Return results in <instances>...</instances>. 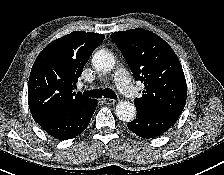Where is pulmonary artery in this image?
I'll return each instance as SVG.
<instances>
[{
    "label": "pulmonary artery",
    "mask_w": 224,
    "mask_h": 175,
    "mask_svg": "<svg viewBox=\"0 0 224 175\" xmlns=\"http://www.w3.org/2000/svg\"><path fill=\"white\" fill-rule=\"evenodd\" d=\"M114 82L117 88L123 93L125 96L129 98H136L138 97L139 93L138 90L133 84L131 83L127 73L123 69H118L114 75Z\"/></svg>",
    "instance_id": "obj_1"
}]
</instances>
